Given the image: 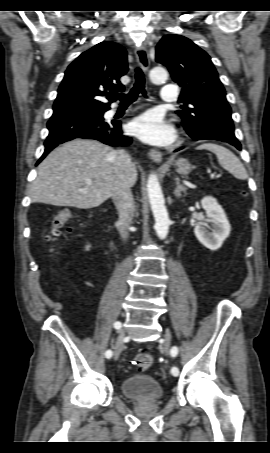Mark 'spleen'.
Returning <instances> with one entry per match:
<instances>
[{
	"label": "spleen",
	"instance_id": "3e777b00",
	"mask_svg": "<svg viewBox=\"0 0 270 453\" xmlns=\"http://www.w3.org/2000/svg\"><path fill=\"white\" fill-rule=\"evenodd\" d=\"M197 149H205L213 152L217 156L219 164L235 178L240 180L247 179L248 175L243 164L240 162L239 158L227 148L214 143H205L198 146Z\"/></svg>",
	"mask_w": 270,
	"mask_h": 453
}]
</instances>
